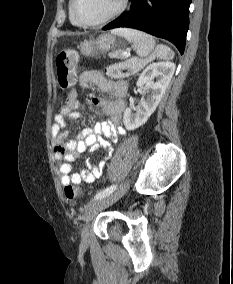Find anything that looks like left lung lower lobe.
Returning a JSON list of instances; mask_svg holds the SVG:
<instances>
[{"mask_svg": "<svg viewBox=\"0 0 233 284\" xmlns=\"http://www.w3.org/2000/svg\"><path fill=\"white\" fill-rule=\"evenodd\" d=\"M191 0H131L130 9L103 27H128L172 42L181 54L189 27Z\"/></svg>", "mask_w": 233, "mask_h": 284, "instance_id": "obj_1", "label": "left lung lower lobe"}]
</instances>
